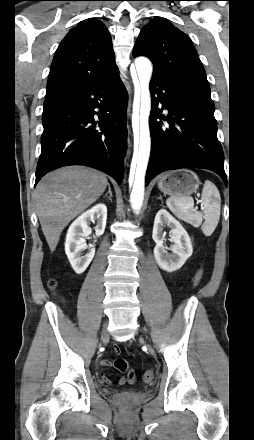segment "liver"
<instances>
[{"instance_id":"6515ba94","label":"liver","mask_w":254,"mask_h":440,"mask_svg":"<svg viewBox=\"0 0 254 440\" xmlns=\"http://www.w3.org/2000/svg\"><path fill=\"white\" fill-rule=\"evenodd\" d=\"M108 185L106 175L82 166H68L45 175L34 191L36 212L53 252L68 223L93 204Z\"/></svg>"}]
</instances>
